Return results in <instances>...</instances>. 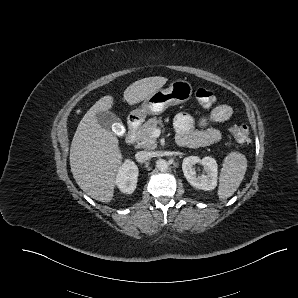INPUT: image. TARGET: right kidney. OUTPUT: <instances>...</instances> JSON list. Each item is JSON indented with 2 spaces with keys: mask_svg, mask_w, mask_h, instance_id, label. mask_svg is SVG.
Listing matches in <instances>:
<instances>
[{
  "mask_svg": "<svg viewBox=\"0 0 298 298\" xmlns=\"http://www.w3.org/2000/svg\"><path fill=\"white\" fill-rule=\"evenodd\" d=\"M138 173L137 164L127 157L118 166L114 185L120 192L132 194L137 185Z\"/></svg>",
  "mask_w": 298,
  "mask_h": 298,
  "instance_id": "ca27d5eb",
  "label": "right kidney"
}]
</instances>
